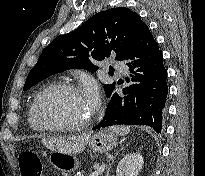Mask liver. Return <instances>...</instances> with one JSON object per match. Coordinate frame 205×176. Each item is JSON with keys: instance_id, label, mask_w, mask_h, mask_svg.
I'll list each match as a JSON object with an SVG mask.
<instances>
[{"instance_id": "obj_1", "label": "liver", "mask_w": 205, "mask_h": 176, "mask_svg": "<svg viewBox=\"0 0 205 176\" xmlns=\"http://www.w3.org/2000/svg\"><path fill=\"white\" fill-rule=\"evenodd\" d=\"M90 133L80 134L71 138H51L42 140V143L47 145L54 151H61L68 154H76L82 152L90 141Z\"/></svg>"}]
</instances>
